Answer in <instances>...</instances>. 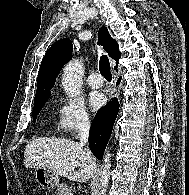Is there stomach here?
<instances>
[{"label": "stomach", "mask_w": 189, "mask_h": 195, "mask_svg": "<svg viewBox=\"0 0 189 195\" xmlns=\"http://www.w3.org/2000/svg\"><path fill=\"white\" fill-rule=\"evenodd\" d=\"M35 180L38 184L48 190L54 189L59 185V176L57 173L46 167H39L34 172Z\"/></svg>", "instance_id": "0dacf381"}]
</instances>
